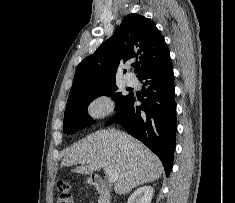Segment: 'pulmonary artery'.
Instances as JSON below:
<instances>
[{
  "label": "pulmonary artery",
  "mask_w": 235,
  "mask_h": 203,
  "mask_svg": "<svg viewBox=\"0 0 235 203\" xmlns=\"http://www.w3.org/2000/svg\"><path fill=\"white\" fill-rule=\"evenodd\" d=\"M125 82L128 86H135L137 84V79L132 74H127L125 76Z\"/></svg>",
  "instance_id": "obj_1"
}]
</instances>
